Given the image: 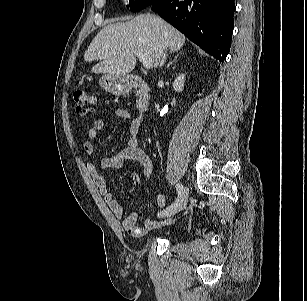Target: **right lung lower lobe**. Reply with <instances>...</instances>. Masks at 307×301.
I'll use <instances>...</instances> for the list:
<instances>
[{
  "label": "right lung lower lobe",
  "mask_w": 307,
  "mask_h": 301,
  "mask_svg": "<svg viewBox=\"0 0 307 301\" xmlns=\"http://www.w3.org/2000/svg\"><path fill=\"white\" fill-rule=\"evenodd\" d=\"M152 10L220 62L233 32L234 0H159Z\"/></svg>",
  "instance_id": "1"
}]
</instances>
